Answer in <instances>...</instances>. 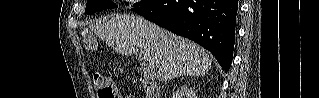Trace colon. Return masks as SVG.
Wrapping results in <instances>:
<instances>
[{
	"label": "colon",
	"instance_id": "5ec220e1",
	"mask_svg": "<svg viewBox=\"0 0 319 98\" xmlns=\"http://www.w3.org/2000/svg\"><path fill=\"white\" fill-rule=\"evenodd\" d=\"M82 43L86 50L93 51L96 48L95 39L89 30H83L81 33ZM94 84L97 88L99 98H118V93L111 79L102 74H96Z\"/></svg>",
	"mask_w": 319,
	"mask_h": 98
}]
</instances>
